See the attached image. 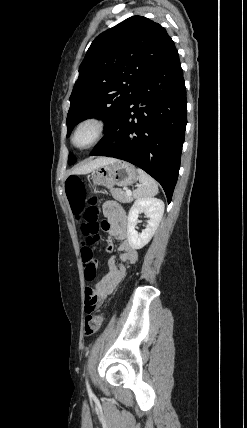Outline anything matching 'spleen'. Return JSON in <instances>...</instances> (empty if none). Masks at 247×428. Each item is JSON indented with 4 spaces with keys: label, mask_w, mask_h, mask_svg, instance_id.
I'll return each mask as SVG.
<instances>
[{
    "label": "spleen",
    "mask_w": 247,
    "mask_h": 428,
    "mask_svg": "<svg viewBox=\"0 0 247 428\" xmlns=\"http://www.w3.org/2000/svg\"><path fill=\"white\" fill-rule=\"evenodd\" d=\"M140 186L133 192L136 199L150 198L158 194V185L156 181L142 169L138 168Z\"/></svg>",
    "instance_id": "1"
}]
</instances>
